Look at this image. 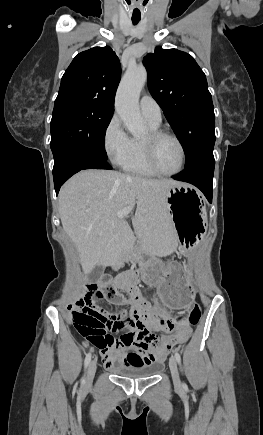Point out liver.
<instances>
[{"label": "liver", "mask_w": 263, "mask_h": 435, "mask_svg": "<svg viewBox=\"0 0 263 435\" xmlns=\"http://www.w3.org/2000/svg\"><path fill=\"white\" fill-rule=\"evenodd\" d=\"M180 182L145 179L116 171L83 170L59 192V214L64 231L76 245L84 273L97 265L118 263L133 249L135 238L120 211L134 208V231L152 255L166 257L178 246L168 214L167 191Z\"/></svg>", "instance_id": "1"}]
</instances>
